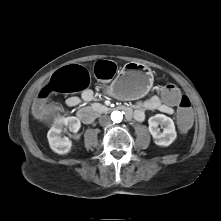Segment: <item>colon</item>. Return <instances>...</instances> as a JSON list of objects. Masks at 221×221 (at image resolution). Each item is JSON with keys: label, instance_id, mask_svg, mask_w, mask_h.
I'll use <instances>...</instances> for the list:
<instances>
[{"label": "colon", "instance_id": "obj_1", "mask_svg": "<svg viewBox=\"0 0 221 221\" xmlns=\"http://www.w3.org/2000/svg\"><path fill=\"white\" fill-rule=\"evenodd\" d=\"M94 73L98 79H112L116 73V65L113 62L102 60L96 63ZM90 83V76L87 70L79 65L64 67L55 72L49 83L45 85L35 102V120L39 123L43 116L48 113L63 114L62 107L53 103L49 106L46 99L53 93H70L85 90ZM159 99L168 106L178 104V130L181 133H188L192 125L191 102L187 96L175 84H165L159 90Z\"/></svg>", "mask_w": 221, "mask_h": 221}]
</instances>
